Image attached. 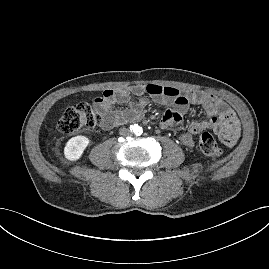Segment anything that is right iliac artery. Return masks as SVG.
<instances>
[{"label":"right iliac artery","instance_id":"obj_1","mask_svg":"<svg viewBox=\"0 0 269 269\" xmlns=\"http://www.w3.org/2000/svg\"><path fill=\"white\" fill-rule=\"evenodd\" d=\"M130 130H131V131H135V130H136V126H135V125H131V126H130Z\"/></svg>","mask_w":269,"mask_h":269}]
</instances>
